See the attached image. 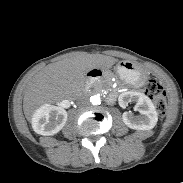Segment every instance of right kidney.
Here are the masks:
<instances>
[{
	"instance_id": "1",
	"label": "right kidney",
	"mask_w": 183,
	"mask_h": 183,
	"mask_svg": "<svg viewBox=\"0 0 183 183\" xmlns=\"http://www.w3.org/2000/svg\"><path fill=\"white\" fill-rule=\"evenodd\" d=\"M66 121V110L49 104L39 107L31 119L34 131L45 136L58 133L65 126Z\"/></svg>"
}]
</instances>
